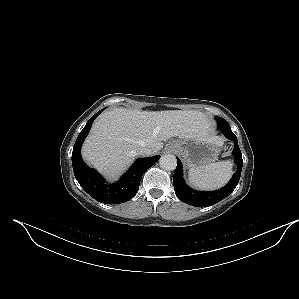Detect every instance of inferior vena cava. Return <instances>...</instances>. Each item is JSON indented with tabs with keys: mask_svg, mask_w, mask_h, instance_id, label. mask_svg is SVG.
<instances>
[{
	"mask_svg": "<svg viewBox=\"0 0 299 299\" xmlns=\"http://www.w3.org/2000/svg\"><path fill=\"white\" fill-rule=\"evenodd\" d=\"M138 154L139 155H150L151 154V149H149L147 147L140 148L138 150Z\"/></svg>",
	"mask_w": 299,
	"mask_h": 299,
	"instance_id": "inferior-vena-cava-1",
	"label": "inferior vena cava"
}]
</instances>
